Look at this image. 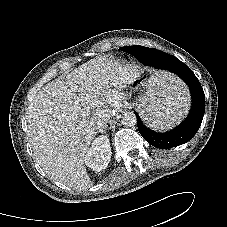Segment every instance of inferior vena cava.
I'll return each instance as SVG.
<instances>
[{"label": "inferior vena cava", "mask_w": 227, "mask_h": 227, "mask_svg": "<svg viewBox=\"0 0 227 227\" xmlns=\"http://www.w3.org/2000/svg\"><path fill=\"white\" fill-rule=\"evenodd\" d=\"M107 121H108V120H105L104 122L98 121V127H99V129H100L101 127L107 126V125H106Z\"/></svg>", "instance_id": "inferior-vena-cava-1"}]
</instances>
